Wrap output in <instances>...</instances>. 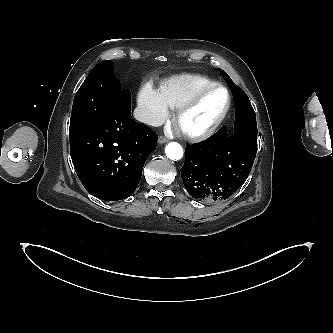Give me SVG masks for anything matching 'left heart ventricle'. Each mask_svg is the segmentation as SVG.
<instances>
[{
  "label": "left heart ventricle",
  "instance_id": "b2bd125f",
  "mask_svg": "<svg viewBox=\"0 0 333 333\" xmlns=\"http://www.w3.org/2000/svg\"><path fill=\"white\" fill-rule=\"evenodd\" d=\"M226 101L227 96L222 89L209 93L184 117L182 126L187 130H200L207 127L221 113Z\"/></svg>",
  "mask_w": 333,
  "mask_h": 333
}]
</instances>
